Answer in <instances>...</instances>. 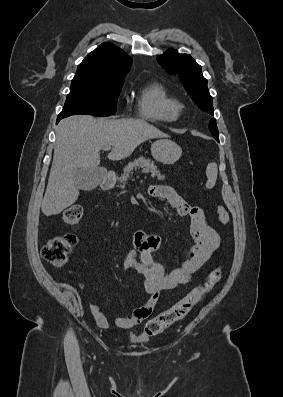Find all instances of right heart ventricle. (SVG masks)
<instances>
[{
    "instance_id": "1",
    "label": "right heart ventricle",
    "mask_w": 283,
    "mask_h": 397,
    "mask_svg": "<svg viewBox=\"0 0 283 397\" xmlns=\"http://www.w3.org/2000/svg\"><path fill=\"white\" fill-rule=\"evenodd\" d=\"M177 100L158 82L145 85L138 93L137 106L142 118L152 122H172L178 117Z\"/></svg>"
}]
</instances>
